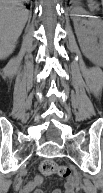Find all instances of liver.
Segmentation results:
<instances>
[{
  "label": "liver",
  "mask_w": 103,
  "mask_h": 193,
  "mask_svg": "<svg viewBox=\"0 0 103 193\" xmlns=\"http://www.w3.org/2000/svg\"><path fill=\"white\" fill-rule=\"evenodd\" d=\"M22 0H1L0 45L3 59L11 55L28 19Z\"/></svg>",
  "instance_id": "obj_1"
}]
</instances>
